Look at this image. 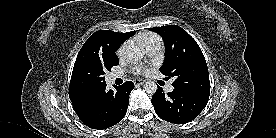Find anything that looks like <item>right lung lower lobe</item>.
Here are the masks:
<instances>
[{
	"instance_id": "right-lung-lower-lobe-1",
	"label": "right lung lower lobe",
	"mask_w": 276,
	"mask_h": 138,
	"mask_svg": "<svg viewBox=\"0 0 276 138\" xmlns=\"http://www.w3.org/2000/svg\"><path fill=\"white\" fill-rule=\"evenodd\" d=\"M134 88L131 81L115 86V90H106V84L91 90L81 111L76 114L90 128L106 129L120 122L127 111L129 94Z\"/></svg>"
}]
</instances>
